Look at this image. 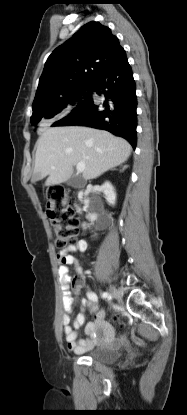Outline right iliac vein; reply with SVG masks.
<instances>
[{
	"label": "right iliac vein",
	"instance_id": "63e3f726",
	"mask_svg": "<svg viewBox=\"0 0 187 415\" xmlns=\"http://www.w3.org/2000/svg\"><path fill=\"white\" fill-rule=\"evenodd\" d=\"M109 294L111 295V297H113V298H116L118 295H119V293H118V291H117V289L115 288V286H113V285H110L109 286Z\"/></svg>",
	"mask_w": 187,
	"mask_h": 415
}]
</instances>
